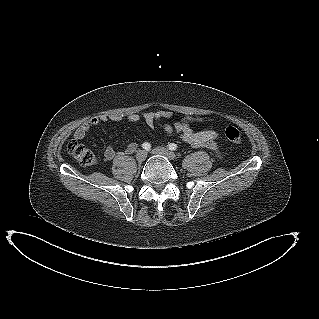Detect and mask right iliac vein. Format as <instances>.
I'll return each instance as SVG.
<instances>
[{
  "mask_svg": "<svg viewBox=\"0 0 319 319\" xmlns=\"http://www.w3.org/2000/svg\"><path fill=\"white\" fill-rule=\"evenodd\" d=\"M147 158V152L145 150H140L136 154V159L138 162H143Z\"/></svg>",
  "mask_w": 319,
  "mask_h": 319,
  "instance_id": "63e3f726",
  "label": "right iliac vein"
}]
</instances>
